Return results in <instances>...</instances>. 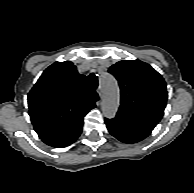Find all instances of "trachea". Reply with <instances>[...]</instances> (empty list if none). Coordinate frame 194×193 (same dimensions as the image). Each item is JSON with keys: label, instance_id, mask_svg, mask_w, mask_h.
<instances>
[{"label": "trachea", "instance_id": "3493384b", "mask_svg": "<svg viewBox=\"0 0 194 193\" xmlns=\"http://www.w3.org/2000/svg\"><path fill=\"white\" fill-rule=\"evenodd\" d=\"M88 85L93 89H96L98 87V78L95 74L91 73L88 76Z\"/></svg>", "mask_w": 194, "mask_h": 193}]
</instances>
